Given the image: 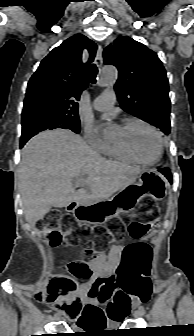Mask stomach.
I'll list each match as a JSON object with an SVG mask.
<instances>
[{
    "label": "stomach",
    "mask_w": 194,
    "mask_h": 336,
    "mask_svg": "<svg viewBox=\"0 0 194 336\" xmlns=\"http://www.w3.org/2000/svg\"><path fill=\"white\" fill-rule=\"evenodd\" d=\"M166 194L167 183L164 177L155 170L146 169L139 174L137 183L120 190L110 199L89 206H77L73 209V215L79 223L101 225L120 212L133 210L145 196L158 201Z\"/></svg>",
    "instance_id": "obj_1"
}]
</instances>
